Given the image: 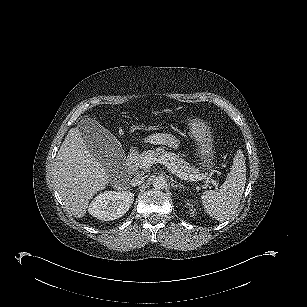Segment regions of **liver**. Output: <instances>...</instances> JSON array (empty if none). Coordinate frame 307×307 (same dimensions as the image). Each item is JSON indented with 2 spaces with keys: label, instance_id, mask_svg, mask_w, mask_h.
<instances>
[{
  "label": "liver",
  "instance_id": "6515ba94",
  "mask_svg": "<svg viewBox=\"0 0 307 307\" xmlns=\"http://www.w3.org/2000/svg\"><path fill=\"white\" fill-rule=\"evenodd\" d=\"M88 150L79 127L63 141L53 165L55 187L68 212L85 215L89 200L109 183V173Z\"/></svg>",
  "mask_w": 307,
  "mask_h": 307
}]
</instances>
